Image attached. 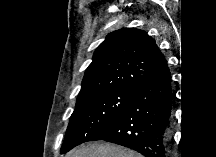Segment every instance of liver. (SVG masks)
I'll return each mask as SVG.
<instances>
[{
  "mask_svg": "<svg viewBox=\"0 0 216 157\" xmlns=\"http://www.w3.org/2000/svg\"><path fill=\"white\" fill-rule=\"evenodd\" d=\"M67 157H140V154L110 143H93L69 152Z\"/></svg>",
  "mask_w": 216,
  "mask_h": 157,
  "instance_id": "6515ba94",
  "label": "liver"
}]
</instances>
